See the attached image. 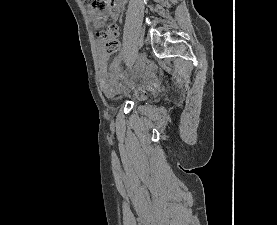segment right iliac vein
I'll return each mask as SVG.
<instances>
[{
	"label": "right iliac vein",
	"instance_id": "1",
	"mask_svg": "<svg viewBox=\"0 0 277 225\" xmlns=\"http://www.w3.org/2000/svg\"><path fill=\"white\" fill-rule=\"evenodd\" d=\"M145 63H146V55L143 53V54L140 55V57H139V59H138L135 76H134V78L132 79V81L129 83L128 88H130V87L135 83V81L137 80V77H138L139 73H140V72L142 71V69L144 68ZM128 88L125 89L124 92H126V91L128 90Z\"/></svg>",
	"mask_w": 277,
	"mask_h": 225
}]
</instances>
